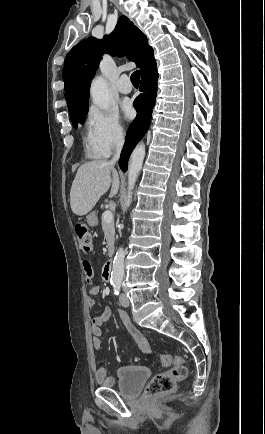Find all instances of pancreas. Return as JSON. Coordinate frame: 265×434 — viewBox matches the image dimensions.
<instances>
[{
	"label": "pancreas",
	"mask_w": 265,
	"mask_h": 434,
	"mask_svg": "<svg viewBox=\"0 0 265 434\" xmlns=\"http://www.w3.org/2000/svg\"><path fill=\"white\" fill-rule=\"evenodd\" d=\"M101 226H102V230L104 232V236L106 238V242L109 246L108 250H111V248H113L114 246V236H115V228H114V224H106V222H104V220H102L101 222Z\"/></svg>",
	"instance_id": "obj_1"
}]
</instances>
